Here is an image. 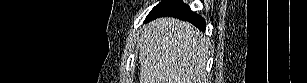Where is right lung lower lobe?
Masks as SVG:
<instances>
[{
	"instance_id": "98d812e1",
	"label": "right lung lower lobe",
	"mask_w": 307,
	"mask_h": 83,
	"mask_svg": "<svg viewBox=\"0 0 307 83\" xmlns=\"http://www.w3.org/2000/svg\"><path fill=\"white\" fill-rule=\"evenodd\" d=\"M173 16L181 18L195 25L197 28L205 31V21L199 15L191 11L190 7L181 0H164L159 3L147 16L145 22L157 17Z\"/></svg>"
}]
</instances>
